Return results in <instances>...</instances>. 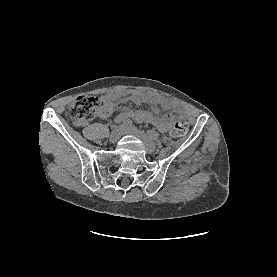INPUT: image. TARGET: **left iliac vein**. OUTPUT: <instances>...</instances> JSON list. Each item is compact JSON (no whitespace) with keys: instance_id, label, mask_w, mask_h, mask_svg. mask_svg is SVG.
I'll return each instance as SVG.
<instances>
[{"instance_id":"left-iliac-vein-1","label":"left iliac vein","mask_w":277,"mask_h":277,"mask_svg":"<svg viewBox=\"0 0 277 277\" xmlns=\"http://www.w3.org/2000/svg\"><path fill=\"white\" fill-rule=\"evenodd\" d=\"M123 132L139 138L143 142L145 150L148 154H152L156 151V144L143 131L137 129L134 126H131V127L125 128Z\"/></svg>"}]
</instances>
